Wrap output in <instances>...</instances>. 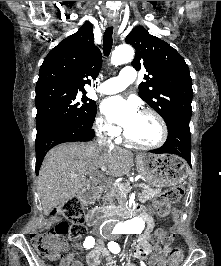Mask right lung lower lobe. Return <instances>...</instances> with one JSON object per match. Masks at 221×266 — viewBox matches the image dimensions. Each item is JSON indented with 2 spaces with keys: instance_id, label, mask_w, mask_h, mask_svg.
Masks as SVG:
<instances>
[{
  "instance_id": "98d812e1",
  "label": "right lung lower lobe",
  "mask_w": 221,
  "mask_h": 266,
  "mask_svg": "<svg viewBox=\"0 0 221 266\" xmlns=\"http://www.w3.org/2000/svg\"><path fill=\"white\" fill-rule=\"evenodd\" d=\"M94 130L79 123L63 122L55 124L36 136V175L46 153L54 146L64 142L90 141Z\"/></svg>"
}]
</instances>
